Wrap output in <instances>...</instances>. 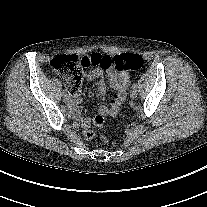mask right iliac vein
<instances>
[{"label":"right iliac vein","mask_w":207,"mask_h":207,"mask_svg":"<svg viewBox=\"0 0 207 207\" xmlns=\"http://www.w3.org/2000/svg\"><path fill=\"white\" fill-rule=\"evenodd\" d=\"M63 101H64L66 104H68V103H69V97H68V96L63 97Z\"/></svg>","instance_id":"right-iliac-vein-1"}]
</instances>
